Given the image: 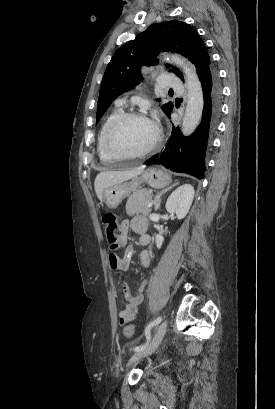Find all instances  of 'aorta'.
Here are the masks:
<instances>
[{"label": "aorta", "mask_w": 275, "mask_h": 409, "mask_svg": "<svg viewBox=\"0 0 275 409\" xmlns=\"http://www.w3.org/2000/svg\"><path fill=\"white\" fill-rule=\"evenodd\" d=\"M168 58H170L171 62L180 66L185 74L187 106L183 116L181 130L185 136H188V134L194 132L202 116L204 100L201 82L196 74L195 66L187 62L184 56H180V54H170Z\"/></svg>", "instance_id": "1"}]
</instances>
